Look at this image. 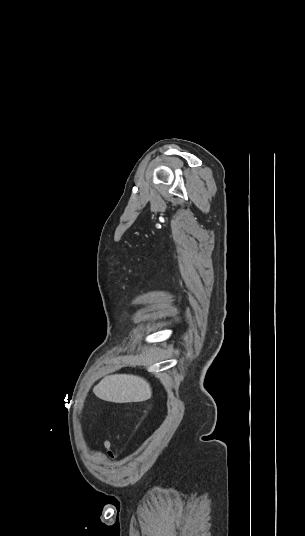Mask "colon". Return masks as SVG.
Returning a JSON list of instances; mask_svg holds the SVG:
<instances>
[{
    "label": "colon",
    "instance_id": "obj_1",
    "mask_svg": "<svg viewBox=\"0 0 305 536\" xmlns=\"http://www.w3.org/2000/svg\"><path fill=\"white\" fill-rule=\"evenodd\" d=\"M103 456H107L106 454H102Z\"/></svg>",
    "mask_w": 305,
    "mask_h": 536
}]
</instances>
